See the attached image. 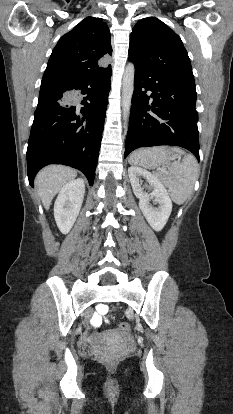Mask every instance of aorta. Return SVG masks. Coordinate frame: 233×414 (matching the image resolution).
Returning <instances> with one entry per match:
<instances>
[{
  "mask_svg": "<svg viewBox=\"0 0 233 414\" xmlns=\"http://www.w3.org/2000/svg\"><path fill=\"white\" fill-rule=\"evenodd\" d=\"M134 74L135 66L133 63H128L125 69L123 76V86H122V111H123V120L127 121L130 108L131 100L134 91Z\"/></svg>",
  "mask_w": 233,
  "mask_h": 414,
  "instance_id": "obj_1",
  "label": "aorta"
}]
</instances>
